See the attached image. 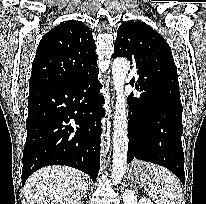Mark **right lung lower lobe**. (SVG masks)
Instances as JSON below:
<instances>
[{
	"instance_id": "98d812e1",
	"label": "right lung lower lobe",
	"mask_w": 206,
	"mask_h": 204,
	"mask_svg": "<svg viewBox=\"0 0 206 204\" xmlns=\"http://www.w3.org/2000/svg\"><path fill=\"white\" fill-rule=\"evenodd\" d=\"M98 72L94 67L77 80L30 91L22 185L47 165L71 166L96 180L104 116Z\"/></svg>"
}]
</instances>
